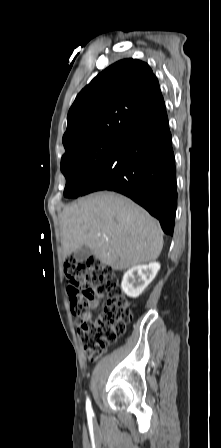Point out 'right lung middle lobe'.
<instances>
[{
	"label": "right lung middle lobe",
	"instance_id": "obj_1",
	"mask_svg": "<svg viewBox=\"0 0 221 448\" xmlns=\"http://www.w3.org/2000/svg\"><path fill=\"white\" fill-rule=\"evenodd\" d=\"M118 137L84 143L66 152L61 159V171L66 178L64 196L77 198L103 164Z\"/></svg>",
	"mask_w": 221,
	"mask_h": 448
}]
</instances>
